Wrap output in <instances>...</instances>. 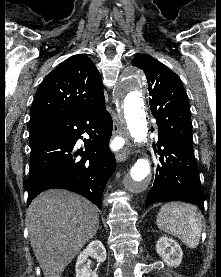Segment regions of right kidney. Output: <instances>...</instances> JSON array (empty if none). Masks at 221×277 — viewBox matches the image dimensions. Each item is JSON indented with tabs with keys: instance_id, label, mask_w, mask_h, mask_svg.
<instances>
[{
	"instance_id": "ca27d5eb",
	"label": "right kidney",
	"mask_w": 221,
	"mask_h": 277,
	"mask_svg": "<svg viewBox=\"0 0 221 277\" xmlns=\"http://www.w3.org/2000/svg\"><path fill=\"white\" fill-rule=\"evenodd\" d=\"M89 256L94 257L98 265L106 260V249L100 240H94L78 256L75 271L76 277H98L96 271L91 272L86 267V261Z\"/></svg>"
}]
</instances>
